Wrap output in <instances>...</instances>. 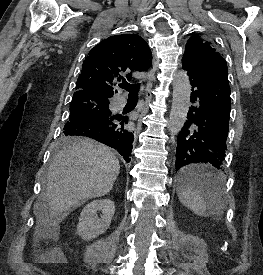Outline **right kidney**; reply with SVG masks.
Returning a JSON list of instances; mask_svg holds the SVG:
<instances>
[{
	"instance_id": "1",
	"label": "right kidney",
	"mask_w": 263,
	"mask_h": 275,
	"mask_svg": "<svg viewBox=\"0 0 263 275\" xmlns=\"http://www.w3.org/2000/svg\"><path fill=\"white\" fill-rule=\"evenodd\" d=\"M102 212L101 217L97 216ZM115 213L114 202L110 199L94 200L81 212L77 225V234L83 240H91L103 234L110 226Z\"/></svg>"
}]
</instances>
